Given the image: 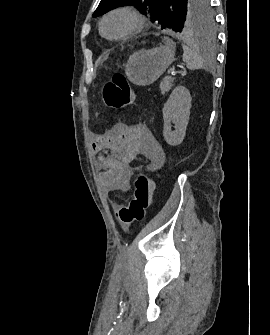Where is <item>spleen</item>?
<instances>
[{
	"label": "spleen",
	"mask_w": 270,
	"mask_h": 335,
	"mask_svg": "<svg viewBox=\"0 0 270 335\" xmlns=\"http://www.w3.org/2000/svg\"><path fill=\"white\" fill-rule=\"evenodd\" d=\"M184 44H182L183 48V62H185L187 68L189 70H201L204 66V62L206 58H204L202 52L198 50V48H194V46H185L187 44V40L182 38Z\"/></svg>",
	"instance_id": "obj_1"
}]
</instances>
